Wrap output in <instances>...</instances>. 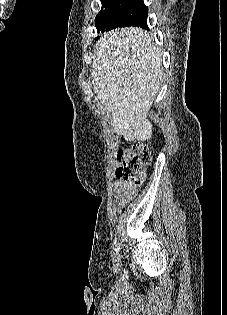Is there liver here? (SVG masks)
<instances>
[{
	"label": "liver",
	"mask_w": 227,
	"mask_h": 315,
	"mask_svg": "<svg viewBox=\"0 0 227 315\" xmlns=\"http://www.w3.org/2000/svg\"><path fill=\"white\" fill-rule=\"evenodd\" d=\"M162 76L160 51L144 30L117 28L97 41L92 86L111 117L113 131L127 141L151 139L153 127L147 116Z\"/></svg>",
	"instance_id": "obj_1"
}]
</instances>
